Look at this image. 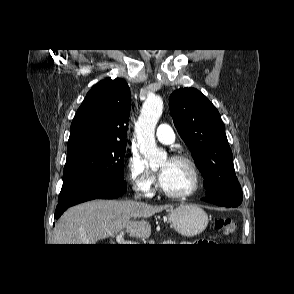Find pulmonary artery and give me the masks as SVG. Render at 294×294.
Returning a JSON list of instances; mask_svg holds the SVG:
<instances>
[{
	"label": "pulmonary artery",
	"mask_w": 294,
	"mask_h": 294,
	"mask_svg": "<svg viewBox=\"0 0 294 294\" xmlns=\"http://www.w3.org/2000/svg\"><path fill=\"white\" fill-rule=\"evenodd\" d=\"M156 137L158 141L164 144H171L174 142V133L169 124L162 123L157 127Z\"/></svg>",
	"instance_id": "1"
}]
</instances>
